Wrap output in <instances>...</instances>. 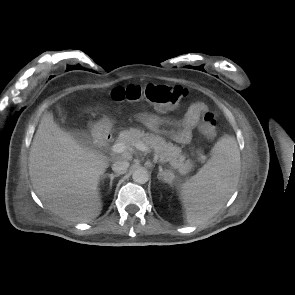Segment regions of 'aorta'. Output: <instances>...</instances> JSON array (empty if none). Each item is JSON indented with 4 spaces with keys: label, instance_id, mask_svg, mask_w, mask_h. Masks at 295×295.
Wrapping results in <instances>:
<instances>
[{
    "label": "aorta",
    "instance_id": "obj_1",
    "mask_svg": "<svg viewBox=\"0 0 295 295\" xmlns=\"http://www.w3.org/2000/svg\"><path fill=\"white\" fill-rule=\"evenodd\" d=\"M132 178L138 184H145L149 179V174L146 169L138 168L133 172Z\"/></svg>",
    "mask_w": 295,
    "mask_h": 295
}]
</instances>
